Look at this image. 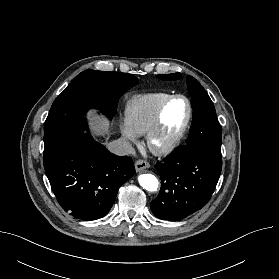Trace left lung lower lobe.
I'll return each instance as SVG.
<instances>
[{"label": "left lung lower lobe", "instance_id": "1", "mask_svg": "<svg viewBox=\"0 0 279 279\" xmlns=\"http://www.w3.org/2000/svg\"><path fill=\"white\" fill-rule=\"evenodd\" d=\"M222 156L190 145L177 147L156 164L161 190L151 202L153 214L177 221L200 210L211 198L220 177Z\"/></svg>", "mask_w": 279, "mask_h": 279}]
</instances>
